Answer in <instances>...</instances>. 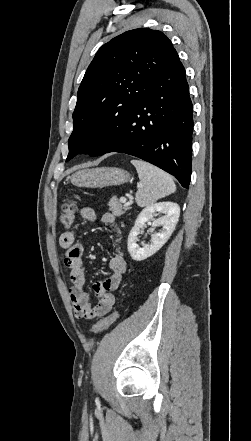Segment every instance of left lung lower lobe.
<instances>
[{
  "label": "left lung lower lobe",
  "instance_id": "0a47b994",
  "mask_svg": "<svg viewBox=\"0 0 251 441\" xmlns=\"http://www.w3.org/2000/svg\"><path fill=\"white\" fill-rule=\"evenodd\" d=\"M192 114L185 69L175 52L125 120L95 132L90 156L109 152L136 156L172 174L188 189Z\"/></svg>",
  "mask_w": 251,
  "mask_h": 441
}]
</instances>
